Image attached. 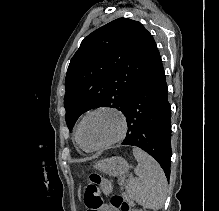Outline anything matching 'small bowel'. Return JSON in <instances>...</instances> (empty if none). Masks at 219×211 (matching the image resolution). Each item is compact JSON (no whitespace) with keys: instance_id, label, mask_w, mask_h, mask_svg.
I'll return each instance as SVG.
<instances>
[{"instance_id":"small-bowel-1","label":"small bowel","mask_w":219,"mask_h":211,"mask_svg":"<svg viewBox=\"0 0 219 211\" xmlns=\"http://www.w3.org/2000/svg\"><path fill=\"white\" fill-rule=\"evenodd\" d=\"M84 201L88 211H114L113 208L104 202L98 191L94 189L86 191Z\"/></svg>"}]
</instances>
